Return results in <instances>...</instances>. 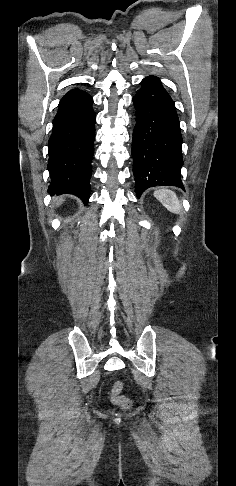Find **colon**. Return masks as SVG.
Returning a JSON list of instances; mask_svg holds the SVG:
<instances>
[{
    "mask_svg": "<svg viewBox=\"0 0 236 486\" xmlns=\"http://www.w3.org/2000/svg\"><path fill=\"white\" fill-rule=\"evenodd\" d=\"M122 390L123 383L121 381L115 382L111 389L110 399L113 404L127 409L131 406V399L122 395Z\"/></svg>",
    "mask_w": 236,
    "mask_h": 486,
    "instance_id": "colon-1",
    "label": "colon"
}]
</instances>
